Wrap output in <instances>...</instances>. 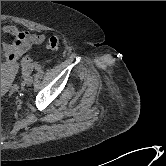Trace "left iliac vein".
Returning <instances> with one entry per match:
<instances>
[{"instance_id":"1","label":"left iliac vein","mask_w":166,"mask_h":166,"mask_svg":"<svg viewBox=\"0 0 166 166\" xmlns=\"http://www.w3.org/2000/svg\"><path fill=\"white\" fill-rule=\"evenodd\" d=\"M33 81H34L33 77L29 76L25 79V84L30 86V85H32Z\"/></svg>"}]
</instances>
